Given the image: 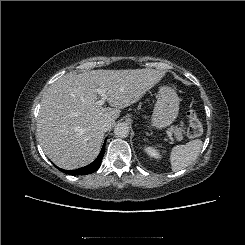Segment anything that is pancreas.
I'll return each mask as SVG.
<instances>
[{"instance_id": "pancreas-1", "label": "pancreas", "mask_w": 245, "mask_h": 245, "mask_svg": "<svg viewBox=\"0 0 245 245\" xmlns=\"http://www.w3.org/2000/svg\"><path fill=\"white\" fill-rule=\"evenodd\" d=\"M170 130L174 133L177 140H182L183 133H185L184 129L182 127L178 126H172Z\"/></svg>"}]
</instances>
